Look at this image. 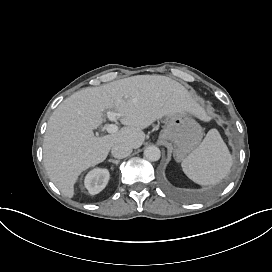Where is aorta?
<instances>
[{"instance_id": "obj_1", "label": "aorta", "mask_w": 272, "mask_h": 272, "mask_svg": "<svg viewBox=\"0 0 272 272\" xmlns=\"http://www.w3.org/2000/svg\"><path fill=\"white\" fill-rule=\"evenodd\" d=\"M144 156L149 161H158L161 156L160 149L156 146H149L144 150Z\"/></svg>"}]
</instances>
